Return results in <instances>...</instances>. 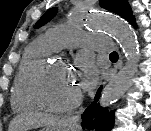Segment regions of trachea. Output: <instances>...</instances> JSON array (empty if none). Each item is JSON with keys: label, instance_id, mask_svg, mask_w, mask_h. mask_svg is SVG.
<instances>
[{"label": "trachea", "instance_id": "obj_1", "mask_svg": "<svg viewBox=\"0 0 151 131\" xmlns=\"http://www.w3.org/2000/svg\"><path fill=\"white\" fill-rule=\"evenodd\" d=\"M110 57L111 58H118V53L117 52H112L111 54H110Z\"/></svg>", "mask_w": 151, "mask_h": 131}]
</instances>
